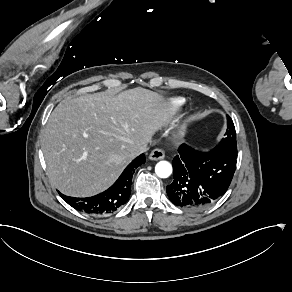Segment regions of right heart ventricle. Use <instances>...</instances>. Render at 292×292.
Wrapping results in <instances>:
<instances>
[{
	"label": "right heart ventricle",
	"instance_id": "1",
	"mask_svg": "<svg viewBox=\"0 0 292 292\" xmlns=\"http://www.w3.org/2000/svg\"><path fill=\"white\" fill-rule=\"evenodd\" d=\"M185 104V100L183 98H172L170 100V106L172 110H178L183 107Z\"/></svg>",
	"mask_w": 292,
	"mask_h": 292
}]
</instances>
